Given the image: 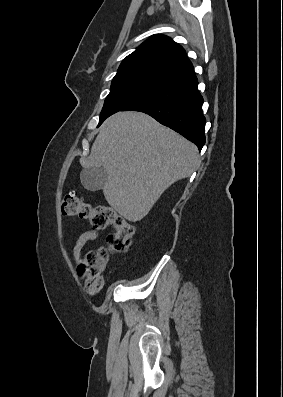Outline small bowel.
I'll return each mask as SVG.
<instances>
[{
  "label": "small bowel",
  "mask_w": 283,
  "mask_h": 397,
  "mask_svg": "<svg viewBox=\"0 0 283 397\" xmlns=\"http://www.w3.org/2000/svg\"><path fill=\"white\" fill-rule=\"evenodd\" d=\"M98 237H99V232L97 230L85 231L77 237L72 249V255L75 262L78 263L80 261L82 250L85 247V245L90 241L96 240Z\"/></svg>",
  "instance_id": "obj_1"
}]
</instances>
